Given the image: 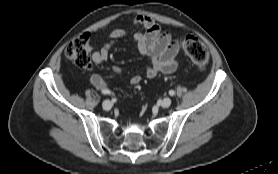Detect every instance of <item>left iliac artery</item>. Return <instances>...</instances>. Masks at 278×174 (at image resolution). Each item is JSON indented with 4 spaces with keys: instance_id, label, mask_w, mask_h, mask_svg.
Returning a JSON list of instances; mask_svg holds the SVG:
<instances>
[{
    "instance_id": "1",
    "label": "left iliac artery",
    "mask_w": 278,
    "mask_h": 174,
    "mask_svg": "<svg viewBox=\"0 0 278 174\" xmlns=\"http://www.w3.org/2000/svg\"><path fill=\"white\" fill-rule=\"evenodd\" d=\"M169 95H170V96H174V95H175V91H174V90H170V91H169Z\"/></svg>"
}]
</instances>
